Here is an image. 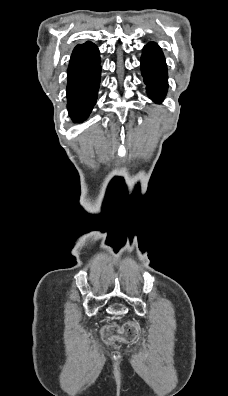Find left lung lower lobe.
I'll list each match as a JSON object with an SVG mask.
<instances>
[{"label":"left lung lower lobe","mask_w":228,"mask_h":396,"mask_svg":"<svg viewBox=\"0 0 228 396\" xmlns=\"http://www.w3.org/2000/svg\"><path fill=\"white\" fill-rule=\"evenodd\" d=\"M141 71L149 97L161 102L168 89L167 66L161 48L153 42L143 48Z\"/></svg>","instance_id":"left-lung-lower-lobe-1"}]
</instances>
